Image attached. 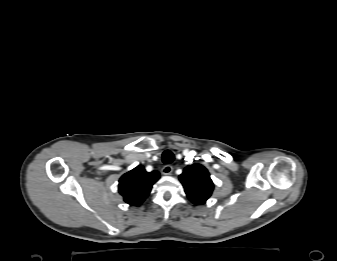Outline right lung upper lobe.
<instances>
[{
    "label": "right lung upper lobe",
    "instance_id": "1",
    "mask_svg": "<svg viewBox=\"0 0 337 261\" xmlns=\"http://www.w3.org/2000/svg\"><path fill=\"white\" fill-rule=\"evenodd\" d=\"M159 178L158 171L147 172L143 166L138 165L120 178L119 193L126 203L139 206L148 197L153 184Z\"/></svg>",
    "mask_w": 337,
    "mask_h": 261
}]
</instances>
